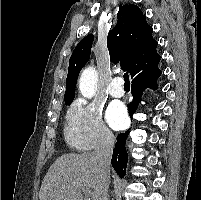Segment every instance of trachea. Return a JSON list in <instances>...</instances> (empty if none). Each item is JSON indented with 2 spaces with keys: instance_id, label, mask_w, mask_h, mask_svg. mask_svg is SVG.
<instances>
[{
  "instance_id": "obj_1",
  "label": "trachea",
  "mask_w": 201,
  "mask_h": 200,
  "mask_svg": "<svg viewBox=\"0 0 201 200\" xmlns=\"http://www.w3.org/2000/svg\"><path fill=\"white\" fill-rule=\"evenodd\" d=\"M124 81H125L124 86H130V81H129V75H128V73L124 74Z\"/></svg>"
}]
</instances>
